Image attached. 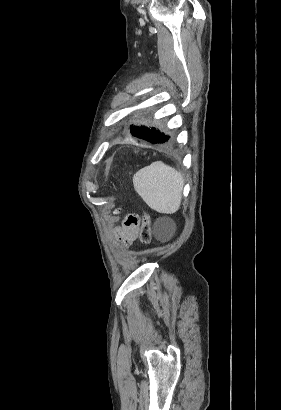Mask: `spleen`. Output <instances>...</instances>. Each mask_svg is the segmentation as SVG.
Here are the masks:
<instances>
[{"mask_svg":"<svg viewBox=\"0 0 281 410\" xmlns=\"http://www.w3.org/2000/svg\"><path fill=\"white\" fill-rule=\"evenodd\" d=\"M133 185L145 203L159 213L173 214L180 208L183 176L162 161L153 162L137 171L133 176Z\"/></svg>","mask_w":281,"mask_h":410,"instance_id":"spleen-1","label":"spleen"}]
</instances>
